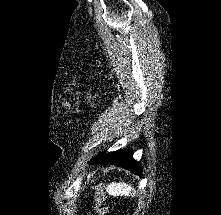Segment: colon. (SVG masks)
<instances>
[{"label": "colon", "instance_id": "obj_1", "mask_svg": "<svg viewBox=\"0 0 221 215\" xmlns=\"http://www.w3.org/2000/svg\"><path fill=\"white\" fill-rule=\"evenodd\" d=\"M94 210L98 215H103L106 212L105 194L100 185H95L94 188Z\"/></svg>", "mask_w": 221, "mask_h": 215}]
</instances>
